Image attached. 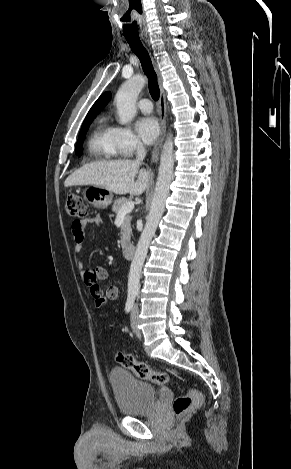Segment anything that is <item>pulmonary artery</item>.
Returning <instances> with one entry per match:
<instances>
[{
	"instance_id": "1",
	"label": "pulmonary artery",
	"mask_w": 291,
	"mask_h": 469,
	"mask_svg": "<svg viewBox=\"0 0 291 469\" xmlns=\"http://www.w3.org/2000/svg\"><path fill=\"white\" fill-rule=\"evenodd\" d=\"M139 109L144 113H150L152 111V103L147 98H142L138 101Z\"/></svg>"
}]
</instances>
